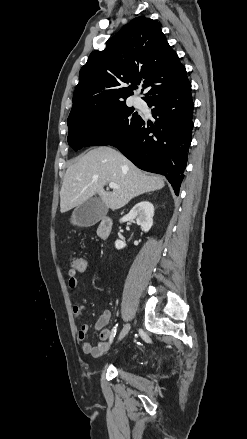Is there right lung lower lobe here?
<instances>
[{
  "label": "right lung lower lobe",
  "instance_id": "obj_1",
  "mask_svg": "<svg viewBox=\"0 0 247 439\" xmlns=\"http://www.w3.org/2000/svg\"><path fill=\"white\" fill-rule=\"evenodd\" d=\"M147 104L154 106L155 123L141 118L110 145L117 147L140 169L164 175L178 195L193 128L191 84L157 95Z\"/></svg>",
  "mask_w": 247,
  "mask_h": 439
}]
</instances>
